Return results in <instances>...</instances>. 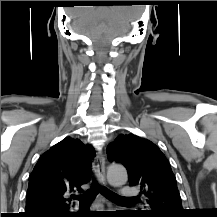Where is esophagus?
I'll return each instance as SVG.
<instances>
[{"mask_svg": "<svg viewBox=\"0 0 217 217\" xmlns=\"http://www.w3.org/2000/svg\"><path fill=\"white\" fill-rule=\"evenodd\" d=\"M93 170L95 172L98 182L104 186L106 184L105 156L102 152H98L95 161L93 162Z\"/></svg>", "mask_w": 217, "mask_h": 217, "instance_id": "34e87169", "label": "esophagus"}]
</instances>
